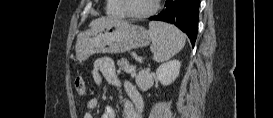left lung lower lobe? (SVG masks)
I'll return each instance as SVG.
<instances>
[{
    "instance_id": "obj_1",
    "label": "left lung lower lobe",
    "mask_w": 273,
    "mask_h": 118,
    "mask_svg": "<svg viewBox=\"0 0 273 118\" xmlns=\"http://www.w3.org/2000/svg\"><path fill=\"white\" fill-rule=\"evenodd\" d=\"M200 0H166L165 8L149 20L174 24L187 34L194 46L198 29Z\"/></svg>"
}]
</instances>
